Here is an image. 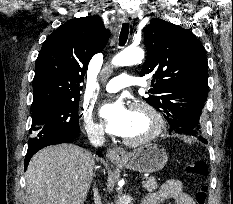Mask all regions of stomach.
<instances>
[{
  "label": "stomach",
  "mask_w": 233,
  "mask_h": 204,
  "mask_svg": "<svg viewBox=\"0 0 233 204\" xmlns=\"http://www.w3.org/2000/svg\"><path fill=\"white\" fill-rule=\"evenodd\" d=\"M168 161L165 149L155 143L138 148L115 163L141 173H154L164 168Z\"/></svg>",
  "instance_id": "stomach-1"
}]
</instances>
